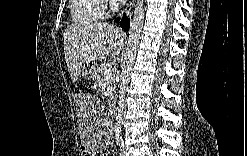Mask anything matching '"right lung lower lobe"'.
I'll return each instance as SVG.
<instances>
[{"mask_svg":"<svg viewBox=\"0 0 247 156\" xmlns=\"http://www.w3.org/2000/svg\"><path fill=\"white\" fill-rule=\"evenodd\" d=\"M120 25L123 29L129 30V19L125 16V14L121 19Z\"/></svg>","mask_w":247,"mask_h":156,"instance_id":"1","label":"right lung lower lobe"}]
</instances>
